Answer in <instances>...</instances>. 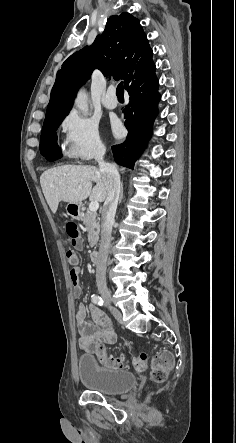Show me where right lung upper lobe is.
<instances>
[{
	"instance_id": "right-lung-upper-lobe-1",
	"label": "right lung upper lobe",
	"mask_w": 236,
	"mask_h": 443,
	"mask_svg": "<svg viewBox=\"0 0 236 443\" xmlns=\"http://www.w3.org/2000/svg\"><path fill=\"white\" fill-rule=\"evenodd\" d=\"M153 51L137 18L127 12L107 19L102 35L62 64L52 88L45 120L68 112L75 93L95 68L108 76L120 77L126 84L152 63Z\"/></svg>"
}]
</instances>
